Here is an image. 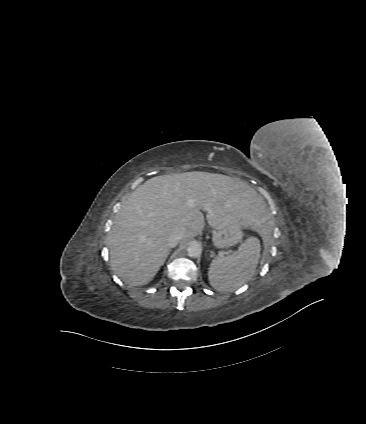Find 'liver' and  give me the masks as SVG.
I'll return each mask as SVG.
<instances>
[{
    "instance_id": "liver-1",
    "label": "liver",
    "mask_w": 366,
    "mask_h": 424,
    "mask_svg": "<svg viewBox=\"0 0 366 424\" xmlns=\"http://www.w3.org/2000/svg\"><path fill=\"white\" fill-rule=\"evenodd\" d=\"M208 224L250 227L263 234L264 201L246 182L222 174L186 172L147 180L123 203L108 235L113 271L126 283H149L169 255L168 238H194Z\"/></svg>"
}]
</instances>
